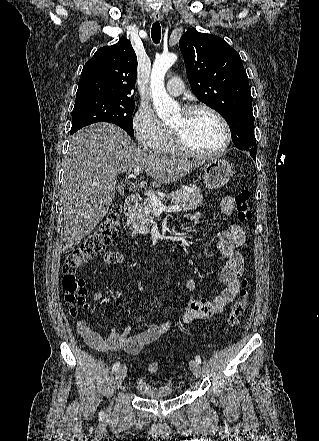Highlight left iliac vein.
I'll list each match as a JSON object with an SVG mask.
<instances>
[{
    "mask_svg": "<svg viewBox=\"0 0 319 441\" xmlns=\"http://www.w3.org/2000/svg\"><path fill=\"white\" fill-rule=\"evenodd\" d=\"M189 367L190 370L192 371V373L198 378L200 377L201 374V367L200 365L195 361V360H191L189 362Z\"/></svg>",
    "mask_w": 319,
    "mask_h": 441,
    "instance_id": "4c4485c4",
    "label": "left iliac vein"
}]
</instances>
